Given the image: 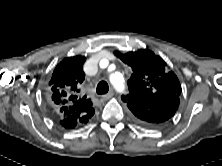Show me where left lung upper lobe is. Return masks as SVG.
<instances>
[{
    "label": "left lung upper lobe",
    "instance_id": "left-lung-upper-lobe-1",
    "mask_svg": "<svg viewBox=\"0 0 222 166\" xmlns=\"http://www.w3.org/2000/svg\"><path fill=\"white\" fill-rule=\"evenodd\" d=\"M114 54L133 71L128 80L130 93L122 96L127 105L131 96L153 101L159 96H180L182 89L177 76L172 71L168 72L164 60L152 51L140 49L125 54L115 51Z\"/></svg>",
    "mask_w": 222,
    "mask_h": 166
}]
</instances>
